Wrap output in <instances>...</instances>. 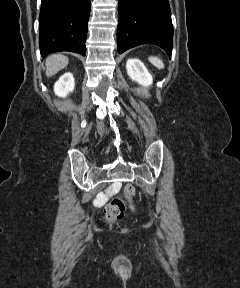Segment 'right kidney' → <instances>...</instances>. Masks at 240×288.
<instances>
[{
    "label": "right kidney",
    "mask_w": 240,
    "mask_h": 288,
    "mask_svg": "<svg viewBox=\"0 0 240 288\" xmlns=\"http://www.w3.org/2000/svg\"><path fill=\"white\" fill-rule=\"evenodd\" d=\"M75 80L72 73L63 74L59 80L54 84V92L59 97H66L74 90Z\"/></svg>",
    "instance_id": "obj_1"
}]
</instances>
